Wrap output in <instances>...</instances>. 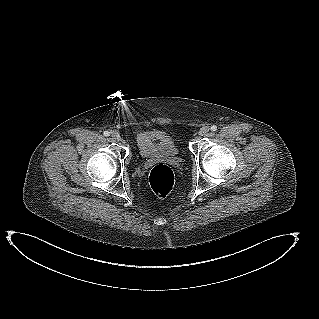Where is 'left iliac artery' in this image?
Returning a JSON list of instances; mask_svg holds the SVG:
<instances>
[{"label":"left iliac artery","mask_w":319,"mask_h":319,"mask_svg":"<svg viewBox=\"0 0 319 319\" xmlns=\"http://www.w3.org/2000/svg\"><path fill=\"white\" fill-rule=\"evenodd\" d=\"M216 130H217V126L212 125V126H211V131H216Z\"/></svg>","instance_id":"left-iliac-artery-1"}]
</instances>
